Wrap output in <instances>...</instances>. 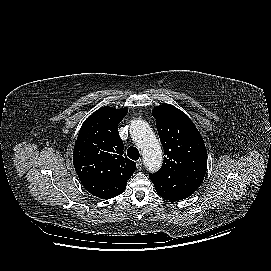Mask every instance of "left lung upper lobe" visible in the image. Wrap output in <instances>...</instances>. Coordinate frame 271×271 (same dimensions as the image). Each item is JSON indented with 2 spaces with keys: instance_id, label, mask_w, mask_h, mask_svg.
<instances>
[{
  "instance_id": "left-lung-upper-lobe-1",
  "label": "left lung upper lobe",
  "mask_w": 271,
  "mask_h": 271,
  "mask_svg": "<svg viewBox=\"0 0 271 271\" xmlns=\"http://www.w3.org/2000/svg\"><path fill=\"white\" fill-rule=\"evenodd\" d=\"M164 149L161 169L150 174L155 188L165 187L172 176L201 185L207 168V151L203 138L191 119L170 104L152 110Z\"/></svg>"
}]
</instances>
